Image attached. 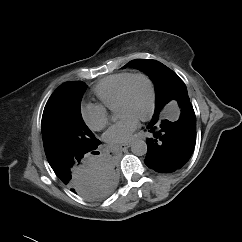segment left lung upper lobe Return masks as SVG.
<instances>
[{
  "instance_id": "1",
  "label": "left lung upper lobe",
  "mask_w": 242,
  "mask_h": 242,
  "mask_svg": "<svg viewBox=\"0 0 242 242\" xmlns=\"http://www.w3.org/2000/svg\"><path fill=\"white\" fill-rule=\"evenodd\" d=\"M126 66L135 67L145 72L155 84L156 104L154 115H157L171 100L188 96L184 82L171 69L159 61L135 59L124 67Z\"/></svg>"
}]
</instances>
